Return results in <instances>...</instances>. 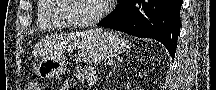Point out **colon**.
<instances>
[{
	"label": "colon",
	"instance_id": "obj_1",
	"mask_svg": "<svg viewBox=\"0 0 216 90\" xmlns=\"http://www.w3.org/2000/svg\"><path fill=\"white\" fill-rule=\"evenodd\" d=\"M26 90H40V87L37 82L30 81L27 83Z\"/></svg>",
	"mask_w": 216,
	"mask_h": 90
}]
</instances>
